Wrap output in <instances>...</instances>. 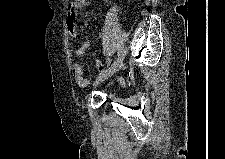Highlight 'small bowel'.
Instances as JSON below:
<instances>
[{"mask_svg": "<svg viewBox=\"0 0 225 159\" xmlns=\"http://www.w3.org/2000/svg\"><path fill=\"white\" fill-rule=\"evenodd\" d=\"M87 7V0H76L74 4L70 7L67 13V18H66V26L68 29V32L72 38L77 36V23H76V16L84 11ZM90 47V42L89 41H83L80 46L75 50L74 55L75 57H83L86 53V51ZM95 67L99 72H103L105 69V66L102 62L96 61L95 62ZM73 77L75 82L80 86V87H86L89 84L88 79L85 77V69L84 66L75 63L73 65ZM117 82L120 85H125V80L122 78H117Z\"/></svg>", "mask_w": 225, "mask_h": 159, "instance_id": "1", "label": "small bowel"}]
</instances>
